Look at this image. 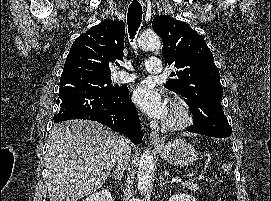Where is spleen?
<instances>
[{"mask_svg":"<svg viewBox=\"0 0 271 201\" xmlns=\"http://www.w3.org/2000/svg\"><path fill=\"white\" fill-rule=\"evenodd\" d=\"M231 168H232V166L230 164H223V166H222V169L227 173L230 172Z\"/></svg>","mask_w":271,"mask_h":201,"instance_id":"obj_1","label":"spleen"}]
</instances>
